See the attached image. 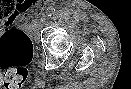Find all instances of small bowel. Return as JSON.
<instances>
[{
  "instance_id": "1",
  "label": "small bowel",
  "mask_w": 131,
  "mask_h": 89,
  "mask_svg": "<svg viewBox=\"0 0 131 89\" xmlns=\"http://www.w3.org/2000/svg\"><path fill=\"white\" fill-rule=\"evenodd\" d=\"M26 5L25 4H19L18 5V9H23ZM13 20V17H10V18H7V19H3V20H0V29L2 28V24H8L10 23V21Z\"/></svg>"
}]
</instances>
